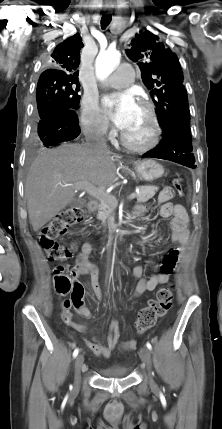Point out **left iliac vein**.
<instances>
[{"mask_svg": "<svg viewBox=\"0 0 222 429\" xmlns=\"http://www.w3.org/2000/svg\"><path fill=\"white\" fill-rule=\"evenodd\" d=\"M140 358L145 363L149 373L151 372V352L147 347H142L140 349ZM150 383L153 384L154 381L152 377H150Z\"/></svg>", "mask_w": 222, "mask_h": 429, "instance_id": "left-iliac-vein-1", "label": "left iliac vein"}]
</instances>
